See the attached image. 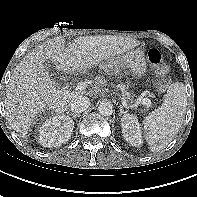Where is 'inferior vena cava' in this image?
Instances as JSON below:
<instances>
[{"label": "inferior vena cava", "instance_id": "1", "mask_svg": "<svg viewBox=\"0 0 197 197\" xmlns=\"http://www.w3.org/2000/svg\"><path fill=\"white\" fill-rule=\"evenodd\" d=\"M89 106H90L89 98L82 95L74 97L73 100L70 102L71 111L77 115L87 110Z\"/></svg>", "mask_w": 197, "mask_h": 197}]
</instances>
